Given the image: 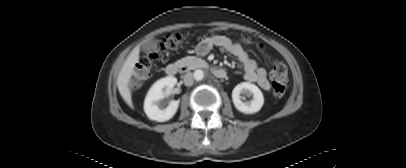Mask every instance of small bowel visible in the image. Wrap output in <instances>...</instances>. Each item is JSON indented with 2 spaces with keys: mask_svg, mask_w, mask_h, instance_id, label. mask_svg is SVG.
Returning a JSON list of instances; mask_svg holds the SVG:
<instances>
[{
  "mask_svg": "<svg viewBox=\"0 0 406 168\" xmlns=\"http://www.w3.org/2000/svg\"><path fill=\"white\" fill-rule=\"evenodd\" d=\"M214 46L235 57L242 67L243 77L248 82L257 83L263 90L270 89V82L265 69L250 58L246 51L237 43L225 36H213L203 40L197 47L200 56L206 55Z\"/></svg>",
  "mask_w": 406,
  "mask_h": 168,
  "instance_id": "c3829d8e",
  "label": "small bowel"
}]
</instances>
